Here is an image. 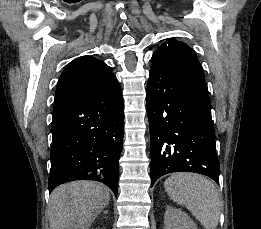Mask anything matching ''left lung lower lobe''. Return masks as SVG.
Listing matches in <instances>:
<instances>
[{
	"instance_id": "0a47b994",
	"label": "left lung lower lobe",
	"mask_w": 261,
	"mask_h": 229,
	"mask_svg": "<svg viewBox=\"0 0 261 229\" xmlns=\"http://www.w3.org/2000/svg\"><path fill=\"white\" fill-rule=\"evenodd\" d=\"M151 185L173 172H194L219 183V160L205 80L151 68L147 85Z\"/></svg>"
}]
</instances>
